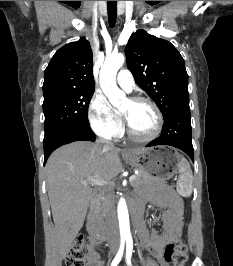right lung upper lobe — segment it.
<instances>
[{
    "instance_id": "obj_1",
    "label": "right lung upper lobe",
    "mask_w": 233,
    "mask_h": 266,
    "mask_svg": "<svg viewBox=\"0 0 233 266\" xmlns=\"http://www.w3.org/2000/svg\"><path fill=\"white\" fill-rule=\"evenodd\" d=\"M93 53L89 41L80 38L60 48L45 70L44 96L76 90H95Z\"/></svg>"
}]
</instances>
